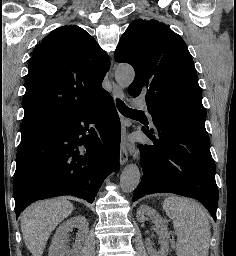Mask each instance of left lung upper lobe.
I'll return each mask as SVG.
<instances>
[{
    "instance_id": "5c2ea615",
    "label": "left lung upper lobe",
    "mask_w": 236,
    "mask_h": 256,
    "mask_svg": "<svg viewBox=\"0 0 236 256\" xmlns=\"http://www.w3.org/2000/svg\"><path fill=\"white\" fill-rule=\"evenodd\" d=\"M115 60L134 68L128 93L145 94L153 118L206 132V110L192 57L183 39L168 26L156 20L133 21L119 41Z\"/></svg>"
}]
</instances>
